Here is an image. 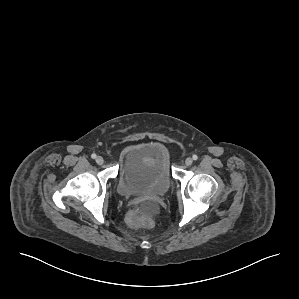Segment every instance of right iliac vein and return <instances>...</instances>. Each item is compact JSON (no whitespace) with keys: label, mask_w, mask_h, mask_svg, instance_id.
I'll use <instances>...</instances> for the list:
<instances>
[{"label":"right iliac vein","mask_w":299,"mask_h":299,"mask_svg":"<svg viewBox=\"0 0 299 299\" xmlns=\"http://www.w3.org/2000/svg\"><path fill=\"white\" fill-rule=\"evenodd\" d=\"M96 163L98 165H102L104 163V159L101 156L96 157Z\"/></svg>","instance_id":"obj_1"}]
</instances>
